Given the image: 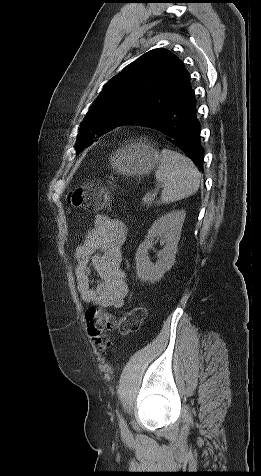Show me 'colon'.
<instances>
[{
	"mask_svg": "<svg viewBox=\"0 0 261 476\" xmlns=\"http://www.w3.org/2000/svg\"><path fill=\"white\" fill-rule=\"evenodd\" d=\"M67 201L70 205L85 210H103L109 206L110 196L106 188L98 182H89L72 189ZM87 331L90 338L103 350L112 345L107 332L117 330L121 334L136 331L146 316L142 306H135L123 316L116 318L97 306L86 310Z\"/></svg>",
	"mask_w": 261,
	"mask_h": 476,
	"instance_id": "colon-1",
	"label": "colon"
}]
</instances>
